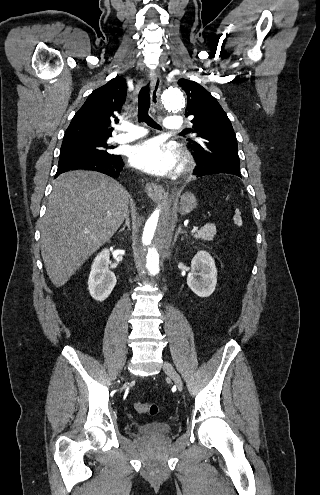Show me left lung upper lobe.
Masks as SVG:
<instances>
[{
  "label": "left lung upper lobe",
  "instance_id": "1",
  "mask_svg": "<svg viewBox=\"0 0 320 495\" xmlns=\"http://www.w3.org/2000/svg\"><path fill=\"white\" fill-rule=\"evenodd\" d=\"M178 85L187 95L186 117H193L188 129L197 137L188 143L193 156L211 166L240 169L236 135L218 101L194 81L180 79Z\"/></svg>",
  "mask_w": 320,
  "mask_h": 495
}]
</instances>
